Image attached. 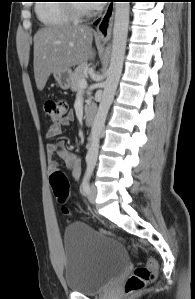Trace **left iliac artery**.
<instances>
[{
	"label": "left iliac artery",
	"mask_w": 195,
	"mask_h": 299,
	"mask_svg": "<svg viewBox=\"0 0 195 299\" xmlns=\"http://www.w3.org/2000/svg\"><path fill=\"white\" fill-rule=\"evenodd\" d=\"M95 161H89L87 163V168L85 172V176L82 183V188L85 194H87L90 190L89 181L91 179V176L93 174L94 168H95Z\"/></svg>",
	"instance_id": "left-iliac-artery-1"
}]
</instances>
